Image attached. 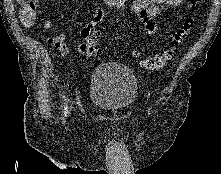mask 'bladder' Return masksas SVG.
Wrapping results in <instances>:
<instances>
[{"label": "bladder", "instance_id": "obj_1", "mask_svg": "<svg viewBox=\"0 0 221 174\" xmlns=\"http://www.w3.org/2000/svg\"><path fill=\"white\" fill-rule=\"evenodd\" d=\"M138 96L133 72L117 63H104L91 76L89 98L99 108L117 112L130 108Z\"/></svg>", "mask_w": 221, "mask_h": 174}]
</instances>
